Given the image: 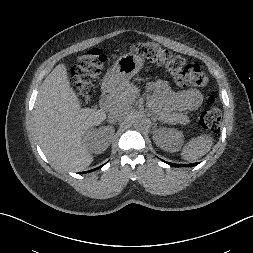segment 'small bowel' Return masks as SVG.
<instances>
[{
  "label": "small bowel",
  "mask_w": 253,
  "mask_h": 253,
  "mask_svg": "<svg viewBox=\"0 0 253 253\" xmlns=\"http://www.w3.org/2000/svg\"><path fill=\"white\" fill-rule=\"evenodd\" d=\"M154 88L161 100L172 110L194 111L202 104V95L197 89L191 88L174 92L162 80H157L154 83Z\"/></svg>",
  "instance_id": "1"
}]
</instances>
